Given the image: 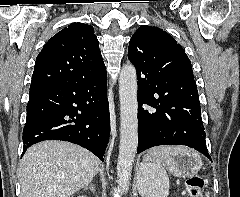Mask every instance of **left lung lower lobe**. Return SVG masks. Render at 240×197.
<instances>
[{"label":"left lung lower lobe","instance_id":"0a47b994","mask_svg":"<svg viewBox=\"0 0 240 197\" xmlns=\"http://www.w3.org/2000/svg\"><path fill=\"white\" fill-rule=\"evenodd\" d=\"M138 148L137 153L158 145H185L211 160L196 84L173 87L156 84L149 74L137 72ZM143 104L148 106L142 107Z\"/></svg>","mask_w":240,"mask_h":197}]
</instances>
